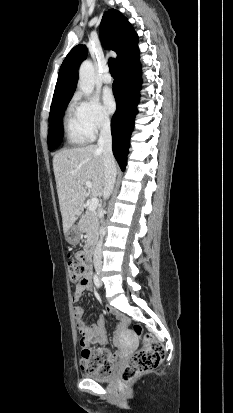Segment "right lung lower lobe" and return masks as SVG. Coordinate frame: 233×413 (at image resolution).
I'll return each instance as SVG.
<instances>
[{
  "mask_svg": "<svg viewBox=\"0 0 233 413\" xmlns=\"http://www.w3.org/2000/svg\"><path fill=\"white\" fill-rule=\"evenodd\" d=\"M117 73L118 77L113 82L117 110L111 120L112 149L117 162L124 170L141 84L138 48L117 64Z\"/></svg>",
  "mask_w": 233,
  "mask_h": 413,
  "instance_id": "right-lung-lower-lobe-1",
  "label": "right lung lower lobe"
}]
</instances>
